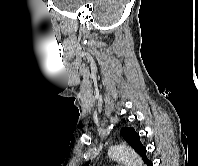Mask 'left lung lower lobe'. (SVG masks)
<instances>
[{
    "instance_id": "1",
    "label": "left lung lower lobe",
    "mask_w": 198,
    "mask_h": 166,
    "mask_svg": "<svg viewBox=\"0 0 198 166\" xmlns=\"http://www.w3.org/2000/svg\"><path fill=\"white\" fill-rule=\"evenodd\" d=\"M144 163L146 166H152V161H150L149 159H147Z\"/></svg>"
}]
</instances>
